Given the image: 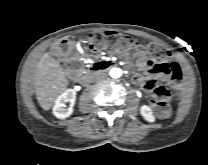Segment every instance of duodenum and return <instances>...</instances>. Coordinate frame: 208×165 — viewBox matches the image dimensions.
<instances>
[{"label":"duodenum","instance_id":"410a0bca","mask_svg":"<svg viewBox=\"0 0 208 165\" xmlns=\"http://www.w3.org/2000/svg\"><path fill=\"white\" fill-rule=\"evenodd\" d=\"M110 64L105 63V62H99V63H95L89 72L83 74L80 78L81 83L83 84H87L91 81L92 77L96 74H98L99 72L107 69V67H109Z\"/></svg>","mask_w":208,"mask_h":165}]
</instances>
